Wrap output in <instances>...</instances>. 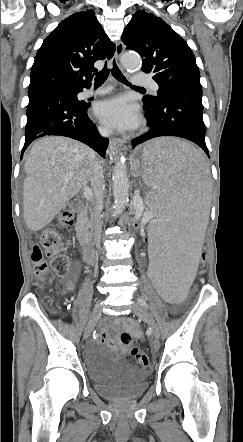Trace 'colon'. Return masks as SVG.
<instances>
[{
  "label": "colon",
  "instance_id": "5ec220e1",
  "mask_svg": "<svg viewBox=\"0 0 243 442\" xmlns=\"http://www.w3.org/2000/svg\"><path fill=\"white\" fill-rule=\"evenodd\" d=\"M76 212H77L76 203L65 206L59 214V219H58L59 225L61 226L70 225L73 219V215ZM124 227L127 230L137 229V231H141V228H138L139 224L133 221L125 222ZM147 241H148L147 235L145 234V231H142V234L140 235V242L146 243ZM40 244L41 246L39 245L34 246L31 253V260L33 263L35 277L43 281H46L49 279L50 276L49 264L45 259V257L43 256L41 247L45 249L48 258L50 259V267L52 268L54 273L58 276L67 275L70 269V260L66 253L67 246L62 241L59 234L53 229L44 230L40 237ZM208 260H209L208 255L206 254L201 255L196 265L197 272L199 274H202L204 272ZM120 341L124 346L129 348L131 356L136 360V362L140 366L144 368L151 367V361L149 356L147 355L146 352L133 345V340L130 334L126 332L122 333L120 335Z\"/></svg>",
  "mask_w": 243,
  "mask_h": 442
}]
</instances>
